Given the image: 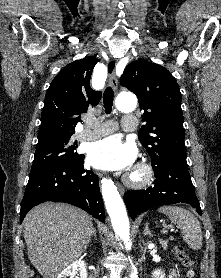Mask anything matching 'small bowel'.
Here are the masks:
<instances>
[{
  "label": "small bowel",
  "instance_id": "small-bowel-1",
  "mask_svg": "<svg viewBox=\"0 0 221 278\" xmlns=\"http://www.w3.org/2000/svg\"><path fill=\"white\" fill-rule=\"evenodd\" d=\"M169 278H178L177 271L175 269L171 270Z\"/></svg>",
  "mask_w": 221,
  "mask_h": 278
}]
</instances>
